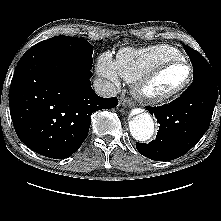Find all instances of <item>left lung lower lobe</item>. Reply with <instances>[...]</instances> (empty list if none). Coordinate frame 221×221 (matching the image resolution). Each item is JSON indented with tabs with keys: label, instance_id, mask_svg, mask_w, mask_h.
I'll use <instances>...</instances> for the list:
<instances>
[{
	"label": "left lung lower lobe",
	"instance_id": "obj_1",
	"mask_svg": "<svg viewBox=\"0 0 221 221\" xmlns=\"http://www.w3.org/2000/svg\"><path fill=\"white\" fill-rule=\"evenodd\" d=\"M221 103V74L193 79L177 99L159 107H147L160 124L156 139L136 143L143 156L157 161L176 159L188 152L202 138L210 125L217 101Z\"/></svg>",
	"mask_w": 221,
	"mask_h": 221
}]
</instances>
